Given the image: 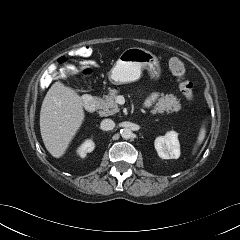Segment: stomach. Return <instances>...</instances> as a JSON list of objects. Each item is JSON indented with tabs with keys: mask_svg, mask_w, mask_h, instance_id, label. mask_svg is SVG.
Wrapping results in <instances>:
<instances>
[{
	"mask_svg": "<svg viewBox=\"0 0 240 240\" xmlns=\"http://www.w3.org/2000/svg\"><path fill=\"white\" fill-rule=\"evenodd\" d=\"M142 70H147L154 80L161 76L160 62L153 53L143 48L130 47L119 56L109 73V80L115 85L131 83L140 79Z\"/></svg>",
	"mask_w": 240,
	"mask_h": 240,
	"instance_id": "0dacf381",
	"label": "stomach"
}]
</instances>
